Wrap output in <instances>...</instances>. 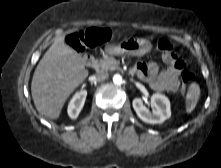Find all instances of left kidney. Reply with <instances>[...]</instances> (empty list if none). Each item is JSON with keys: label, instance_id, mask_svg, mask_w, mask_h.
Here are the masks:
<instances>
[{"label": "left kidney", "instance_id": "left-kidney-1", "mask_svg": "<svg viewBox=\"0 0 221 168\" xmlns=\"http://www.w3.org/2000/svg\"><path fill=\"white\" fill-rule=\"evenodd\" d=\"M133 108L138 117L149 124H161L171 116L170 101L160 93H155L151 97L152 112L143 104L141 98L133 99Z\"/></svg>", "mask_w": 221, "mask_h": 168}]
</instances>
